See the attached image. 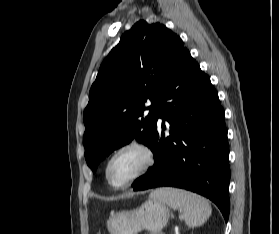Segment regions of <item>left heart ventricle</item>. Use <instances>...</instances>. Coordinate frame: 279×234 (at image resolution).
<instances>
[{"label": "left heart ventricle", "instance_id": "b2bd125f", "mask_svg": "<svg viewBox=\"0 0 279 234\" xmlns=\"http://www.w3.org/2000/svg\"><path fill=\"white\" fill-rule=\"evenodd\" d=\"M142 155L137 151H127L118 156L111 164L109 176L112 182L127 180L142 164Z\"/></svg>", "mask_w": 279, "mask_h": 234}]
</instances>
